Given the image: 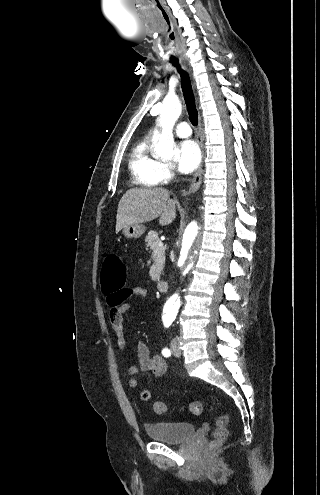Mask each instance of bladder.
<instances>
[{"instance_id": "bladder-1", "label": "bladder", "mask_w": 320, "mask_h": 495, "mask_svg": "<svg viewBox=\"0 0 320 495\" xmlns=\"http://www.w3.org/2000/svg\"><path fill=\"white\" fill-rule=\"evenodd\" d=\"M146 432L156 441L177 444L194 434L195 425L191 422H153L146 425Z\"/></svg>"}]
</instances>
